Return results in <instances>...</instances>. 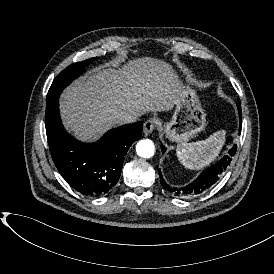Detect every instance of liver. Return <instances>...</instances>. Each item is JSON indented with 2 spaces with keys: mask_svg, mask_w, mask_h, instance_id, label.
<instances>
[{
  "mask_svg": "<svg viewBox=\"0 0 274 274\" xmlns=\"http://www.w3.org/2000/svg\"><path fill=\"white\" fill-rule=\"evenodd\" d=\"M181 87L178 75L163 60L137 58L121 68L115 62L106 63L64 90L61 117L77 139L94 142L120 124L122 113L138 117L150 111L171 110L179 100Z\"/></svg>",
  "mask_w": 274,
  "mask_h": 274,
  "instance_id": "obj_1",
  "label": "liver"
}]
</instances>
